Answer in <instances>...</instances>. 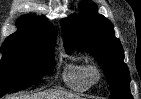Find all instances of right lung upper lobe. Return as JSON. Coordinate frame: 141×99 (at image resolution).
<instances>
[{
  "instance_id": "cb5924a9",
  "label": "right lung upper lobe",
  "mask_w": 141,
  "mask_h": 99,
  "mask_svg": "<svg viewBox=\"0 0 141 99\" xmlns=\"http://www.w3.org/2000/svg\"><path fill=\"white\" fill-rule=\"evenodd\" d=\"M18 31L5 41H26L40 44H52L56 36L52 28L40 18L25 15L17 21Z\"/></svg>"
}]
</instances>
